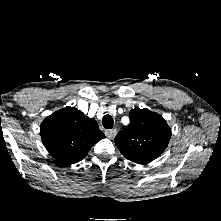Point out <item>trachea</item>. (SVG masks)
Segmentation results:
<instances>
[{
    "label": "trachea",
    "instance_id": "1",
    "mask_svg": "<svg viewBox=\"0 0 221 221\" xmlns=\"http://www.w3.org/2000/svg\"><path fill=\"white\" fill-rule=\"evenodd\" d=\"M102 124L106 129H112L114 121L111 115L107 114L102 119Z\"/></svg>",
    "mask_w": 221,
    "mask_h": 221
}]
</instances>
